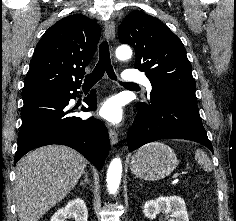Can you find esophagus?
I'll return each mask as SVG.
<instances>
[{"instance_id":"34e87169","label":"esophagus","mask_w":236,"mask_h":221,"mask_svg":"<svg viewBox=\"0 0 236 221\" xmlns=\"http://www.w3.org/2000/svg\"><path fill=\"white\" fill-rule=\"evenodd\" d=\"M105 35L109 40H114L115 38V25L114 22L112 21H107L105 23ZM109 138H110V143L112 145H115L118 143V133L110 128L109 129Z\"/></svg>"}]
</instances>
